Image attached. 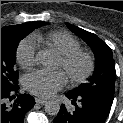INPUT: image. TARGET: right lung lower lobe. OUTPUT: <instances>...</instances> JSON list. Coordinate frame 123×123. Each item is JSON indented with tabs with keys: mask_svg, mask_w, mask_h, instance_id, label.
<instances>
[{
	"mask_svg": "<svg viewBox=\"0 0 123 123\" xmlns=\"http://www.w3.org/2000/svg\"><path fill=\"white\" fill-rule=\"evenodd\" d=\"M19 90L18 86L8 87L1 85V123H23L25 114L35 105L32 96L23 94L18 95L11 106L6 105V100H12L13 94Z\"/></svg>",
	"mask_w": 123,
	"mask_h": 123,
	"instance_id": "obj_1",
	"label": "right lung lower lobe"
}]
</instances>
